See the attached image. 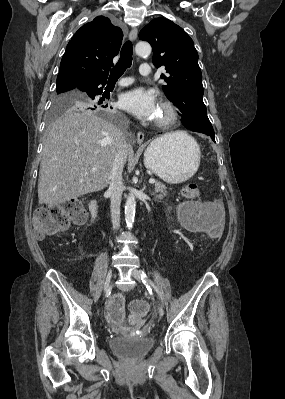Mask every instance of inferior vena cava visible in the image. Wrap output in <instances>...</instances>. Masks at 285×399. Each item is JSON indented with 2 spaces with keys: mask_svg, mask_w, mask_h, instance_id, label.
<instances>
[{
  "mask_svg": "<svg viewBox=\"0 0 285 399\" xmlns=\"http://www.w3.org/2000/svg\"><path fill=\"white\" fill-rule=\"evenodd\" d=\"M126 144V140L123 136L119 141V148L113 162L111 182L109 186V193L111 198L110 212L112 226L114 230H117L120 227V205L123 191L122 172L126 159Z\"/></svg>",
  "mask_w": 285,
  "mask_h": 399,
  "instance_id": "obj_1",
  "label": "inferior vena cava"
}]
</instances>
